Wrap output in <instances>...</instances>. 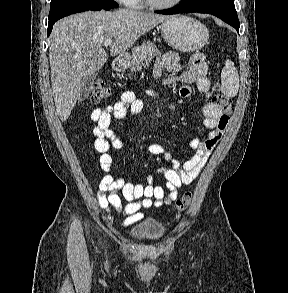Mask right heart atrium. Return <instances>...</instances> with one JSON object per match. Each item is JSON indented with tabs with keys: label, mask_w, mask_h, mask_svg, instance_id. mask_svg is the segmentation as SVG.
Listing matches in <instances>:
<instances>
[{
	"label": "right heart atrium",
	"mask_w": 288,
	"mask_h": 293,
	"mask_svg": "<svg viewBox=\"0 0 288 293\" xmlns=\"http://www.w3.org/2000/svg\"><path fill=\"white\" fill-rule=\"evenodd\" d=\"M116 1L121 4L128 5L132 0H116Z\"/></svg>",
	"instance_id": "right-heart-atrium-1"
}]
</instances>
